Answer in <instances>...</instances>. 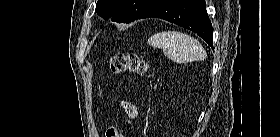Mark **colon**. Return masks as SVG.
<instances>
[{
    "instance_id": "colon-1",
    "label": "colon",
    "mask_w": 280,
    "mask_h": 137,
    "mask_svg": "<svg viewBox=\"0 0 280 137\" xmlns=\"http://www.w3.org/2000/svg\"><path fill=\"white\" fill-rule=\"evenodd\" d=\"M150 69L149 64L136 53H115L109 60V70L113 74L135 73L144 75ZM106 137H124L123 130L112 126L106 131Z\"/></svg>"
}]
</instances>
